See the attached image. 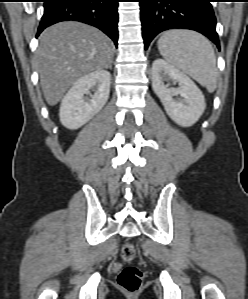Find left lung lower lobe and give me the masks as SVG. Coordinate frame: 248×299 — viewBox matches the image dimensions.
<instances>
[{"mask_svg": "<svg viewBox=\"0 0 248 299\" xmlns=\"http://www.w3.org/2000/svg\"><path fill=\"white\" fill-rule=\"evenodd\" d=\"M145 49L160 32L172 28L198 31L219 48L211 0H139Z\"/></svg>", "mask_w": 248, "mask_h": 299, "instance_id": "left-lung-lower-lobe-1", "label": "left lung lower lobe"}]
</instances>
